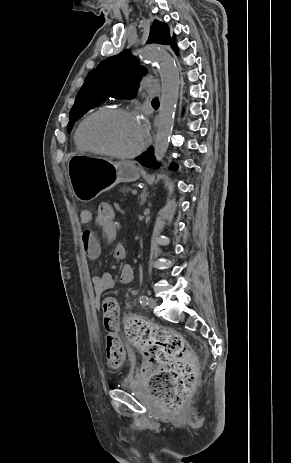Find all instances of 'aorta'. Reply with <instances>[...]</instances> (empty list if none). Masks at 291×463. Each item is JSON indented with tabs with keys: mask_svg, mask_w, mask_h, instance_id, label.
Segmentation results:
<instances>
[{
	"mask_svg": "<svg viewBox=\"0 0 291 463\" xmlns=\"http://www.w3.org/2000/svg\"><path fill=\"white\" fill-rule=\"evenodd\" d=\"M140 58L143 61L156 62L159 66L162 94L154 142V155L156 160L160 162L167 152L172 135L180 84L179 71L170 55L155 48L143 50Z\"/></svg>",
	"mask_w": 291,
	"mask_h": 463,
	"instance_id": "1",
	"label": "aorta"
}]
</instances>
